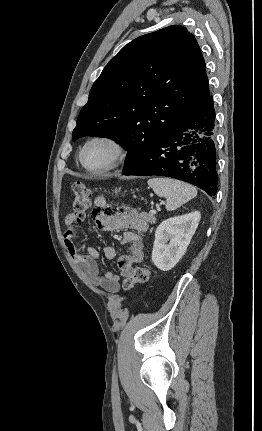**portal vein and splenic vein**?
I'll list each match as a JSON object with an SVG mask.
<instances>
[{"instance_id":"18ae733b","label":"portal vein and splenic vein","mask_w":262,"mask_h":431,"mask_svg":"<svg viewBox=\"0 0 262 431\" xmlns=\"http://www.w3.org/2000/svg\"><path fill=\"white\" fill-rule=\"evenodd\" d=\"M150 213H151V214H155V213H156V210L152 209V210L150 211Z\"/></svg>"}]
</instances>
